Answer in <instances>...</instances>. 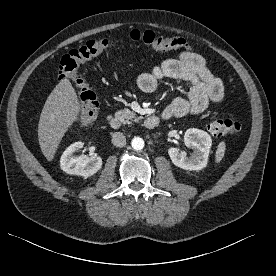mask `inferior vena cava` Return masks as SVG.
Listing matches in <instances>:
<instances>
[{
    "label": "inferior vena cava",
    "mask_w": 276,
    "mask_h": 276,
    "mask_svg": "<svg viewBox=\"0 0 276 276\" xmlns=\"http://www.w3.org/2000/svg\"><path fill=\"white\" fill-rule=\"evenodd\" d=\"M112 143L116 147H124L126 145V138L121 132H115L112 135Z\"/></svg>",
    "instance_id": "1"
}]
</instances>
